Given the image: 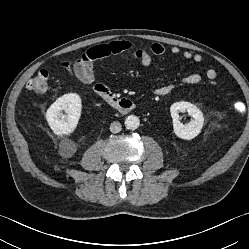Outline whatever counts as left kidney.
<instances>
[{"label":"left kidney","mask_w":249,"mask_h":249,"mask_svg":"<svg viewBox=\"0 0 249 249\" xmlns=\"http://www.w3.org/2000/svg\"><path fill=\"white\" fill-rule=\"evenodd\" d=\"M179 112H188L193 119L187 124H182L179 121ZM170 113L173 119L174 133L177 137L191 140L201 132L204 116L195 105L185 101L175 102L170 107Z\"/></svg>","instance_id":"left-kidney-1"}]
</instances>
